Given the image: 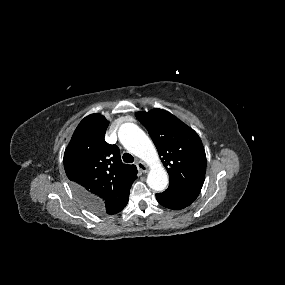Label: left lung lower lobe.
<instances>
[{"mask_svg":"<svg viewBox=\"0 0 285 285\" xmlns=\"http://www.w3.org/2000/svg\"><path fill=\"white\" fill-rule=\"evenodd\" d=\"M199 193L196 189L169 184L167 190L156 194V198L164 207L179 210L192 204Z\"/></svg>","mask_w":285,"mask_h":285,"instance_id":"1","label":"left lung lower lobe"}]
</instances>
